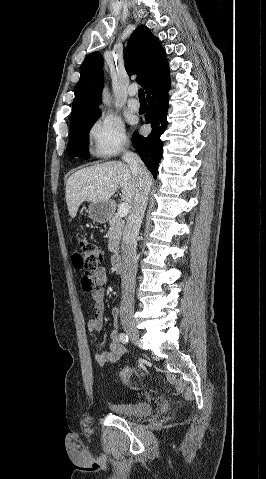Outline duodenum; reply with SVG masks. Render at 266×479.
<instances>
[{"label":"duodenum","mask_w":266,"mask_h":479,"mask_svg":"<svg viewBox=\"0 0 266 479\" xmlns=\"http://www.w3.org/2000/svg\"><path fill=\"white\" fill-rule=\"evenodd\" d=\"M123 267V259L119 254L112 256V269L115 273H119Z\"/></svg>","instance_id":"duodenum-1"}]
</instances>
